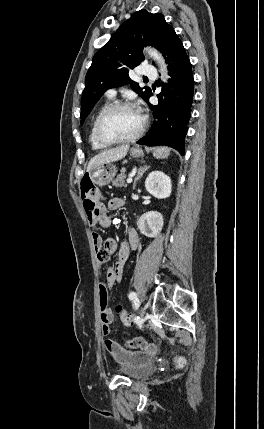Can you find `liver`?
Instances as JSON below:
<instances>
[{
	"label": "liver",
	"instance_id": "obj_1",
	"mask_svg": "<svg viewBox=\"0 0 264 429\" xmlns=\"http://www.w3.org/2000/svg\"><path fill=\"white\" fill-rule=\"evenodd\" d=\"M129 150V145H122L116 148L105 150L94 156L88 163L87 171L89 172L95 166L105 163L116 162L124 158Z\"/></svg>",
	"mask_w": 264,
	"mask_h": 429
}]
</instances>
